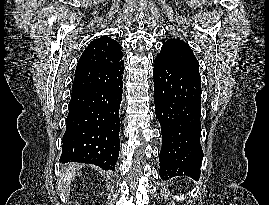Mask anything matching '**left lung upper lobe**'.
<instances>
[{"mask_svg":"<svg viewBox=\"0 0 269 205\" xmlns=\"http://www.w3.org/2000/svg\"><path fill=\"white\" fill-rule=\"evenodd\" d=\"M165 60L181 67L199 70V63L187 43L179 39H168L158 55Z\"/></svg>","mask_w":269,"mask_h":205,"instance_id":"5c2ea615","label":"left lung upper lobe"}]
</instances>
